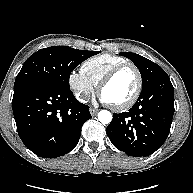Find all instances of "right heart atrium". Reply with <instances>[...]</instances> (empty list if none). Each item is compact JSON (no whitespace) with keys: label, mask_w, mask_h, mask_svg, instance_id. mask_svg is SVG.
I'll use <instances>...</instances> for the list:
<instances>
[{"label":"right heart atrium","mask_w":193,"mask_h":193,"mask_svg":"<svg viewBox=\"0 0 193 193\" xmlns=\"http://www.w3.org/2000/svg\"><path fill=\"white\" fill-rule=\"evenodd\" d=\"M68 85L75 98L81 103L87 102L95 91V86L81 71L77 70H72L69 73Z\"/></svg>","instance_id":"obj_1"}]
</instances>
